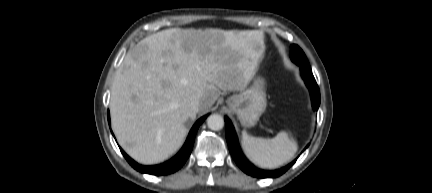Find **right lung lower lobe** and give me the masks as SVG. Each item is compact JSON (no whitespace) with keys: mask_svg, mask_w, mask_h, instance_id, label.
Wrapping results in <instances>:
<instances>
[{"mask_svg":"<svg viewBox=\"0 0 432 193\" xmlns=\"http://www.w3.org/2000/svg\"><path fill=\"white\" fill-rule=\"evenodd\" d=\"M205 118H206V116H203L194 124V126L190 130L189 135L187 137V140H186L185 144L183 145V147L181 148V150L177 153V155H175L172 159H170L169 161H167L165 163H162L159 165H154V166H142V165H139L138 163H136L135 161H133L121 148H120V150H121L123 156L129 162V164L134 169H136L142 173H149V174L157 175V176L173 173V172L177 171L179 168H181L183 166V164L186 162V160L188 159V157L192 151V148H193L194 139H195V135L197 133V130ZM108 122L110 125L109 112H108Z\"/></svg>","mask_w":432,"mask_h":193,"instance_id":"obj_1","label":"right lung lower lobe"}]
</instances>
